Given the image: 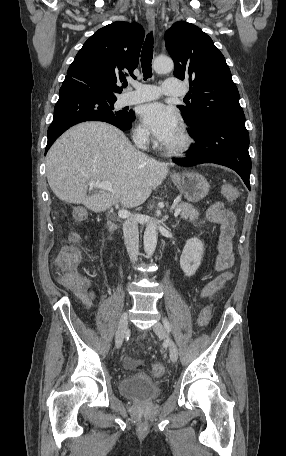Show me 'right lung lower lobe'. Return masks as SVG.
Instances as JSON below:
<instances>
[{"label":"right lung lower lobe","instance_id":"98d812e1","mask_svg":"<svg viewBox=\"0 0 286 456\" xmlns=\"http://www.w3.org/2000/svg\"><path fill=\"white\" fill-rule=\"evenodd\" d=\"M108 99L78 84H64L54 108V117L48 129L45 153L52 143L71 126L85 121H104L121 130H128L135 119L132 111L125 118L113 119L103 113Z\"/></svg>","mask_w":286,"mask_h":456}]
</instances>
